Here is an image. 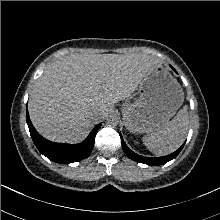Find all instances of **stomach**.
Instances as JSON below:
<instances>
[{
	"mask_svg": "<svg viewBox=\"0 0 220 220\" xmlns=\"http://www.w3.org/2000/svg\"><path fill=\"white\" fill-rule=\"evenodd\" d=\"M140 96L125 104L123 119L133 133H150L163 128L184 101L177 80L162 66L154 67L140 82Z\"/></svg>",
	"mask_w": 220,
	"mask_h": 220,
	"instance_id": "0dacf381",
	"label": "stomach"
}]
</instances>
